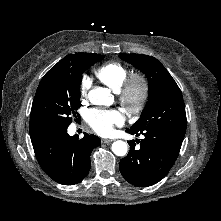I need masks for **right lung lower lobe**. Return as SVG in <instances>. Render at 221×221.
<instances>
[{
    "label": "right lung lower lobe",
    "mask_w": 221,
    "mask_h": 221,
    "mask_svg": "<svg viewBox=\"0 0 221 221\" xmlns=\"http://www.w3.org/2000/svg\"><path fill=\"white\" fill-rule=\"evenodd\" d=\"M31 141L41 168L63 185H74L84 179L91 167V151L101 144L99 137L88 133L81 139L77 135L71 137L67 128L33 135Z\"/></svg>",
    "instance_id": "right-lung-lower-lobe-1"
}]
</instances>
